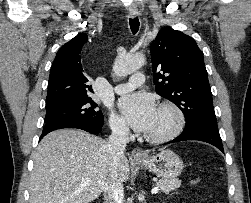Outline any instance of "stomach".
<instances>
[{"label": "stomach", "mask_w": 251, "mask_h": 203, "mask_svg": "<svg viewBox=\"0 0 251 203\" xmlns=\"http://www.w3.org/2000/svg\"><path fill=\"white\" fill-rule=\"evenodd\" d=\"M136 163L164 179L176 178L184 167L181 158L171 150H161L153 156H148L145 160L136 161Z\"/></svg>", "instance_id": "stomach-1"}]
</instances>
